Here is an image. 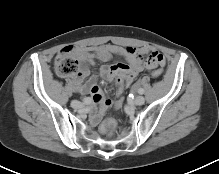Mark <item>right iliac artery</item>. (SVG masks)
Instances as JSON below:
<instances>
[{
  "label": "right iliac artery",
  "mask_w": 219,
  "mask_h": 174,
  "mask_svg": "<svg viewBox=\"0 0 219 174\" xmlns=\"http://www.w3.org/2000/svg\"><path fill=\"white\" fill-rule=\"evenodd\" d=\"M83 103L86 104V105H88V104L91 103V99L88 98V97H87V98H84V99H83Z\"/></svg>",
  "instance_id": "82829eb1"
}]
</instances>
